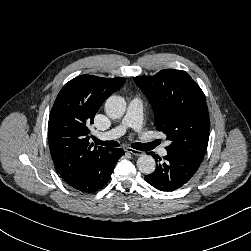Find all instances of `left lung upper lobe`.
Wrapping results in <instances>:
<instances>
[{"label":"left lung upper lobe","mask_w":251,"mask_h":251,"mask_svg":"<svg viewBox=\"0 0 251 251\" xmlns=\"http://www.w3.org/2000/svg\"><path fill=\"white\" fill-rule=\"evenodd\" d=\"M134 80L152 105L157 130L171 141L167 152L201 164L209 139V114L199 85L185 71L175 69Z\"/></svg>","instance_id":"obj_1"}]
</instances>
